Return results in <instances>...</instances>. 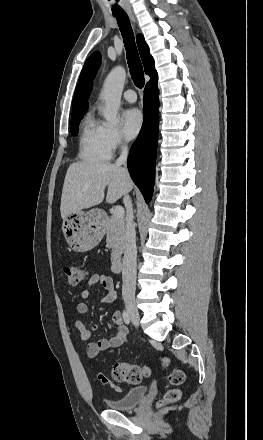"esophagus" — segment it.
Listing matches in <instances>:
<instances>
[{
  "label": "esophagus",
  "instance_id": "obj_1",
  "mask_svg": "<svg viewBox=\"0 0 263 440\" xmlns=\"http://www.w3.org/2000/svg\"><path fill=\"white\" fill-rule=\"evenodd\" d=\"M127 13H128V15H129V17L131 18V20H132L133 22H135V18H134V15H133L132 11H131V10H128Z\"/></svg>",
  "mask_w": 263,
  "mask_h": 440
}]
</instances>
